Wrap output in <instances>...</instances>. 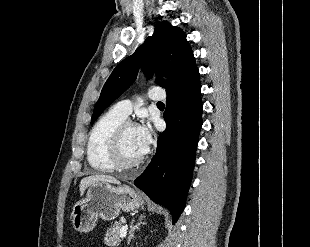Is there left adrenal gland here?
<instances>
[{
  "mask_svg": "<svg viewBox=\"0 0 310 247\" xmlns=\"http://www.w3.org/2000/svg\"><path fill=\"white\" fill-rule=\"evenodd\" d=\"M144 218V216H140L139 218V222L134 225L135 220H132L131 225H130V231H129V236H128V242L127 244L129 245L132 238L134 237V232L135 230H138L140 228V226L143 224H146L145 222H142L141 220Z\"/></svg>",
  "mask_w": 310,
  "mask_h": 247,
  "instance_id": "1",
  "label": "left adrenal gland"
}]
</instances>
